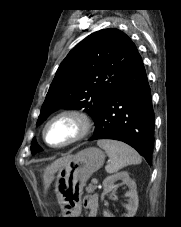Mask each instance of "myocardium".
I'll list each match as a JSON object with an SVG mask.
<instances>
[{"instance_id": "1", "label": "myocardium", "mask_w": 181, "mask_h": 227, "mask_svg": "<svg viewBox=\"0 0 181 227\" xmlns=\"http://www.w3.org/2000/svg\"><path fill=\"white\" fill-rule=\"evenodd\" d=\"M62 118H67L72 120L77 125V132L75 133L74 136H72L64 143L59 145H52L47 141V137H46L47 129L53 122ZM91 129H92V120L86 112L77 110V109H65L54 114L52 117H50L47 120V122L45 123L42 129V138L44 143L49 147L59 149L83 140L89 135Z\"/></svg>"}]
</instances>
